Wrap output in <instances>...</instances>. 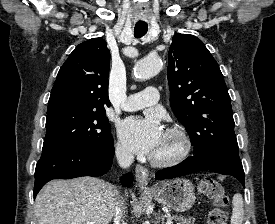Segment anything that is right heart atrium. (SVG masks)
Listing matches in <instances>:
<instances>
[{
	"mask_svg": "<svg viewBox=\"0 0 275 224\" xmlns=\"http://www.w3.org/2000/svg\"><path fill=\"white\" fill-rule=\"evenodd\" d=\"M115 151L119 157L125 158L129 156L127 150L120 143H116Z\"/></svg>",
	"mask_w": 275,
	"mask_h": 224,
	"instance_id": "obj_1",
	"label": "right heart atrium"
}]
</instances>
